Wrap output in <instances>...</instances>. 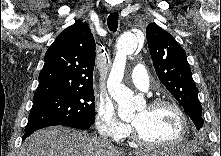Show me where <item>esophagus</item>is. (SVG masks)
Returning a JSON list of instances; mask_svg holds the SVG:
<instances>
[{
  "label": "esophagus",
  "mask_w": 221,
  "mask_h": 156,
  "mask_svg": "<svg viewBox=\"0 0 221 156\" xmlns=\"http://www.w3.org/2000/svg\"><path fill=\"white\" fill-rule=\"evenodd\" d=\"M111 10L115 12V11H118L119 9H118V7H113V8H111Z\"/></svg>",
  "instance_id": "34e87169"
}]
</instances>
